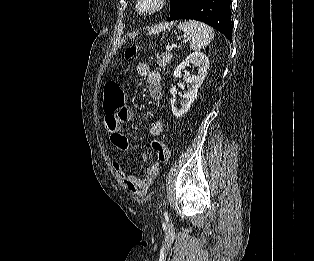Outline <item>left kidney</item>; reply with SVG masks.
<instances>
[{
    "label": "left kidney",
    "instance_id": "1",
    "mask_svg": "<svg viewBox=\"0 0 314 261\" xmlns=\"http://www.w3.org/2000/svg\"><path fill=\"white\" fill-rule=\"evenodd\" d=\"M190 64H193L194 66H197L199 68L198 74L195 76L186 77L185 81L190 84V88L188 92L182 95L183 101L180 103L179 107L176 105V100L171 99L172 113L176 117H181L185 113H187L192 103L196 99L198 89L201 87L207 75V70L209 68V59L203 53L200 52L191 53L174 70L173 73L174 78L179 77L181 75V71Z\"/></svg>",
    "mask_w": 314,
    "mask_h": 261
}]
</instances>
